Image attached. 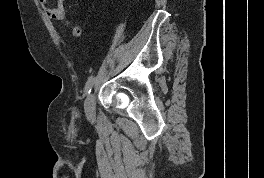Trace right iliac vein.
<instances>
[{
	"mask_svg": "<svg viewBox=\"0 0 264 178\" xmlns=\"http://www.w3.org/2000/svg\"><path fill=\"white\" fill-rule=\"evenodd\" d=\"M85 113H86L87 118L90 121H94L95 119V97L93 93L89 94L85 101Z\"/></svg>",
	"mask_w": 264,
	"mask_h": 178,
	"instance_id": "right-iliac-vein-1",
	"label": "right iliac vein"
}]
</instances>
